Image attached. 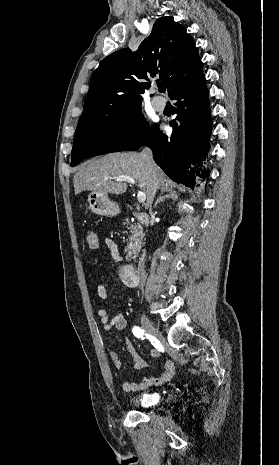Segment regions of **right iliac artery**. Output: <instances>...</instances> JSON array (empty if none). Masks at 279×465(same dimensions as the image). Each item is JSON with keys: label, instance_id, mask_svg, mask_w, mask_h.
<instances>
[{"label": "right iliac artery", "instance_id": "obj_1", "mask_svg": "<svg viewBox=\"0 0 279 465\" xmlns=\"http://www.w3.org/2000/svg\"><path fill=\"white\" fill-rule=\"evenodd\" d=\"M132 331H133V334H134L137 338H142V339H144L145 332H144L143 329H141V328L135 326V327H133V330H132Z\"/></svg>", "mask_w": 279, "mask_h": 465}]
</instances>
